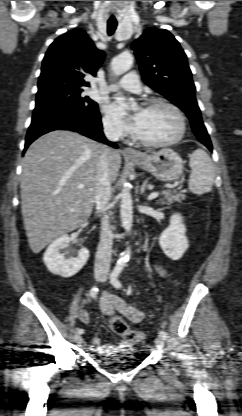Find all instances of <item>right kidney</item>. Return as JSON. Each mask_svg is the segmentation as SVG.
Instances as JSON below:
<instances>
[{
  "label": "right kidney",
  "instance_id": "ca27d5eb",
  "mask_svg": "<svg viewBox=\"0 0 242 416\" xmlns=\"http://www.w3.org/2000/svg\"><path fill=\"white\" fill-rule=\"evenodd\" d=\"M70 238L64 234L55 239L45 251L43 261L48 270L62 277H71L78 273L86 264L89 258V251L83 247L78 251L76 257L65 259L64 254L60 253V249L69 244Z\"/></svg>",
  "mask_w": 242,
  "mask_h": 416
}]
</instances>
